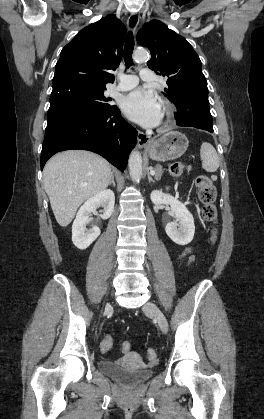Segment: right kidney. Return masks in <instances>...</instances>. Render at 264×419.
I'll use <instances>...</instances> for the list:
<instances>
[{
	"label": "right kidney",
	"instance_id": "ca27d5eb",
	"mask_svg": "<svg viewBox=\"0 0 264 419\" xmlns=\"http://www.w3.org/2000/svg\"><path fill=\"white\" fill-rule=\"evenodd\" d=\"M115 204V195L112 190H103L89 198L78 210L76 218L72 225L73 244L81 250L88 248L100 235V229L93 226L89 231L86 224L90 221V215L97 207L103 206L104 212L102 219H108L113 211Z\"/></svg>",
	"mask_w": 264,
	"mask_h": 419
}]
</instances>
